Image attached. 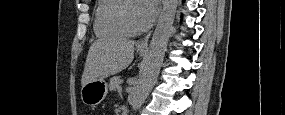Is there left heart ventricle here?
Masks as SVG:
<instances>
[{"label": "left heart ventricle", "mask_w": 285, "mask_h": 115, "mask_svg": "<svg viewBox=\"0 0 285 115\" xmlns=\"http://www.w3.org/2000/svg\"><path fill=\"white\" fill-rule=\"evenodd\" d=\"M126 14L135 27H142L143 25L141 24L139 17H138V4L135 2L130 3Z\"/></svg>", "instance_id": "obj_1"}]
</instances>
